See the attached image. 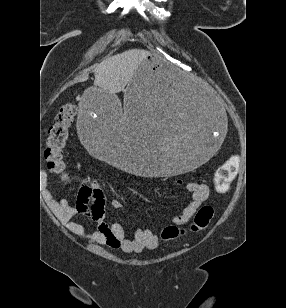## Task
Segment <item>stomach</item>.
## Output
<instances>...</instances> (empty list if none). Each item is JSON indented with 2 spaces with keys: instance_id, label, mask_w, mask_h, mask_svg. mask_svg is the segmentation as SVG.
Returning <instances> with one entry per match:
<instances>
[{
  "instance_id": "1",
  "label": "stomach",
  "mask_w": 286,
  "mask_h": 308,
  "mask_svg": "<svg viewBox=\"0 0 286 308\" xmlns=\"http://www.w3.org/2000/svg\"><path fill=\"white\" fill-rule=\"evenodd\" d=\"M215 91L188 81L181 65L149 55L116 97L102 85L82 89L75 124L98 161L131 168L134 177H183L226 144V112Z\"/></svg>"
}]
</instances>
